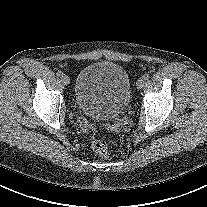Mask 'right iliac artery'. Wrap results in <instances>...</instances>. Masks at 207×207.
Returning <instances> with one entry per match:
<instances>
[{"instance_id":"1","label":"right iliac artery","mask_w":207,"mask_h":207,"mask_svg":"<svg viewBox=\"0 0 207 207\" xmlns=\"http://www.w3.org/2000/svg\"><path fill=\"white\" fill-rule=\"evenodd\" d=\"M56 75L61 77L63 75V72L59 70V71L56 72Z\"/></svg>"}]
</instances>
